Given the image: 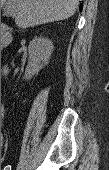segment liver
I'll return each mask as SVG.
<instances>
[{"label":"liver","mask_w":109,"mask_h":170,"mask_svg":"<svg viewBox=\"0 0 109 170\" xmlns=\"http://www.w3.org/2000/svg\"><path fill=\"white\" fill-rule=\"evenodd\" d=\"M15 9V23L28 28L74 15L79 0H6ZM3 2V1H2Z\"/></svg>","instance_id":"liver-1"}]
</instances>
